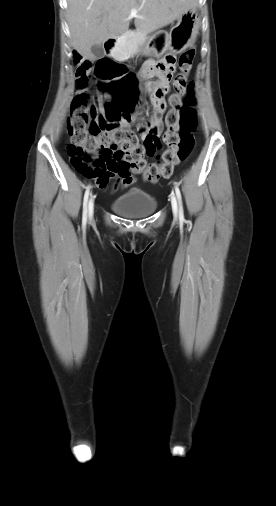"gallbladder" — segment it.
Returning <instances> with one entry per match:
<instances>
[{"mask_svg": "<svg viewBox=\"0 0 276 506\" xmlns=\"http://www.w3.org/2000/svg\"><path fill=\"white\" fill-rule=\"evenodd\" d=\"M91 52L96 59H100L104 56V50L102 45H93L91 47Z\"/></svg>", "mask_w": 276, "mask_h": 506, "instance_id": "bac80fb5", "label": "gallbladder"}]
</instances>
